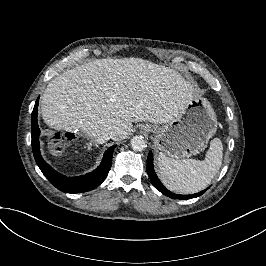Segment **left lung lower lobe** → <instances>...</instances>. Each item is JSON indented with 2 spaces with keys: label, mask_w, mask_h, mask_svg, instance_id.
Segmentation results:
<instances>
[{
  "label": "left lung lower lobe",
  "mask_w": 266,
  "mask_h": 266,
  "mask_svg": "<svg viewBox=\"0 0 266 266\" xmlns=\"http://www.w3.org/2000/svg\"><path fill=\"white\" fill-rule=\"evenodd\" d=\"M146 170L147 173L149 175V178L153 184V186L159 190L161 193H163L164 195L173 198V199H191V198H196L198 196H201L206 190H203L199 193H195L193 195H178V194H174L172 192H170L169 190H167L162 183L160 182V180L158 179L154 168H153V154L152 152H149L148 157H147V164H146Z\"/></svg>",
  "instance_id": "left-lung-lower-lobe-1"
}]
</instances>
